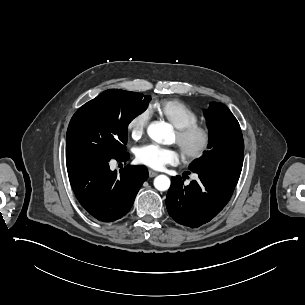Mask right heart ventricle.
<instances>
[{"label":"right heart ventricle","mask_w":305,"mask_h":305,"mask_svg":"<svg viewBox=\"0 0 305 305\" xmlns=\"http://www.w3.org/2000/svg\"><path fill=\"white\" fill-rule=\"evenodd\" d=\"M150 112L168 119L174 127L199 123V115L183 102L176 99L157 100L150 105Z\"/></svg>","instance_id":"1"}]
</instances>
